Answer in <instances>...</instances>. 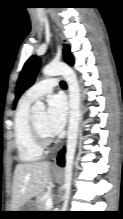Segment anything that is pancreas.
<instances>
[{
	"instance_id": "cf45deb5",
	"label": "pancreas",
	"mask_w": 123,
	"mask_h": 219,
	"mask_svg": "<svg viewBox=\"0 0 123 219\" xmlns=\"http://www.w3.org/2000/svg\"><path fill=\"white\" fill-rule=\"evenodd\" d=\"M47 192H43L41 193L37 199H36V208L38 211H47L46 207H45V202L46 200L44 199V195L46 194Z\"/></svg>"
}]
</instances>
